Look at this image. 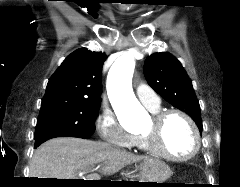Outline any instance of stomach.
Instances as JSON below:
<instances>
[{
  "mask_svg": "<svg viewBox=\"0 0 240 187\" xmlns=\"http://www.w3.org/2000/svg\"><path fill=\"white\" fill-rule=\"evenodd\" d=\"M171 170L169 166L158 159H149L145 160L141 166V178L142 182H156V183H147L151 186H156L157 183H164L170 176Z\"/></svg>",
  "mask_w": 240,
  "mask_h": 187,
  "instance_id": "1",
  "label": "stomach"
}]
</instances>
